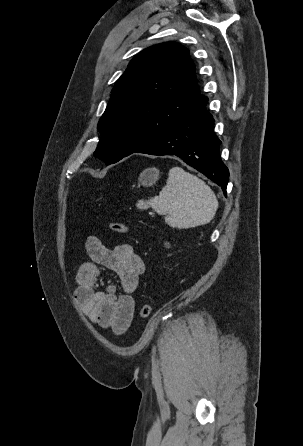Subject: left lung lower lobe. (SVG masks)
Listing matches in <instances>:
<instances>
[{"mask_svg": "<svg viewBox=\"0 0 303 446\" xmlns=\"http://www.w3.org/2000/svg\"><path fill=\"white\" fill-rule=\"evenodd\" d=\"M207 102L201 95L166 135L134 153L176 155L221 186L226 196L229 171L219 154L221 141L213 132L214 119L206 109Z\"/></svg>", "mask_w": 303, "mask_h": 446, "instance_id": "obj_1", "label": "left lung lower lobe"}]
</instances>
